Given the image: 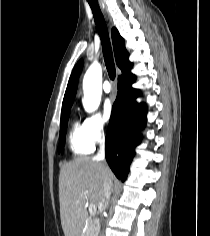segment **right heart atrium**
Returning a JSON list of instances; mask_svg holds the SVG:
<instances>
[{"label": "right heart atrium", "instance_id": "1", "mask_svg": "<svg viewBox=\"0 0 210 236\" xmlns=\"http://www.w3.org/2000/svg\"><path fill=\"white\" fill-rule=\"evenodd\" d=\"M84 127L88 139L94 144L103 139L105 125L98 114H92L85 118Z\"/></svg>", "mask_w": 210, "mask_h": 236}]
</instances>
